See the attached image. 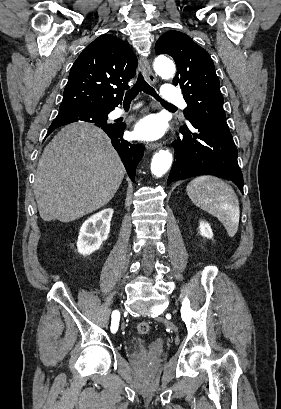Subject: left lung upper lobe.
Listing matches in <instances>:
<instances>
[{
  "label": "left lung upper lobe",
  "instance_id": "obj_1",
  "mask_svg": "<svg viewBox=\"0 0 281 409\" xmlns=\"http://www.w3.org/2000/svg\"><path fill=\"white\" fill-rule=\"evenodd\" d=\"M157 54L173 57L177 73L173 83L182 89L185 117L227 129L220 82L208 52L179 31L164 33L155 45Z\"/></svg>",
  "mask_w": 281,
  "mask_h": 409
}]
</instances>
